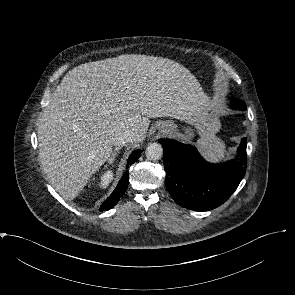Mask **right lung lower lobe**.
<instances>
[{"label":"right lung lower lobe","instance_id":"1","mask_svg":"<svg viewBox=\"0 0 295 295\" xmlns=\"http://www.w3.org/2000/svg\"><path fill=\"white\" fill-rule=\"evenodd\" d=\"M142 150H136L131 153L128 158V165L133 164L140 156ZM128 167V166H127ZM129 184V173L125 171L122 179L118 183L117 187L113 191V193L104 201V203L100 207V211H107L114 207L119 201L120 197L124 194Z\"/></svg>","mask_w":295,"mask_h":295}]
</instances>
